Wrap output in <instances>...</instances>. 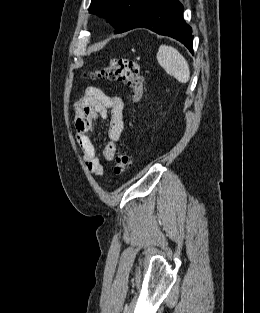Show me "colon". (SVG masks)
Instances as JSON below:
<instances>
[{
	"instance_id": "colon-1",
	"label": "colon",
	"mask_w": 260,
	"mask_h": 313,
	"mask_svg": "<svg viewBox=\"0 0 260 313\" xmlns=\"http://www.w3.org/2000/svg\"><path fill=\"white\" fill-rule=\"evenodd\" d=\"M89 76L123 82L130 88V98L133 102L140 101L143 96L144 80L140 73V66L136 61L115 58L110 61L107 67L91 72ZM129 167V154L125 150L119 151L114 161L113 174L122 176L128 171Z\"/></svg>"
}]
</instances>
